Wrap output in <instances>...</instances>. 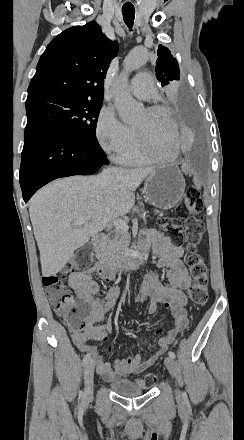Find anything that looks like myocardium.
Wrapping results in <instances>:
<instances>
[{"mask_svg": "<svg viewBox=\"0 0 244 440\" xmlns=\"http://www.w3.org/2000/svg\"><path fill=\"white\" fill-rule=\"evenodd\" d=\"M145 111H167L168 119H169V127H171V129L169 130V132L171 133V143H170L171 154L169 157L156 158L155 161L160 165H171L176 160L177 157V141H178L176 128L174 126L175 119H174V115L172 114L173 112L171 110H168V108L165 105H151L146 107ZM135 130L139 133V140H138L140 142L139 146L144 147L145 146L144 135L146 132L140 131L137 128H135ZM159 146H154L153 148L161 149ZM149 152L153 155L155 153V150L151 149Z\"/></svg>", "mask_w": 244, "mask_h": 440, "instance_id": "f54148a6", "label": "myocardium"}]
</instances>
